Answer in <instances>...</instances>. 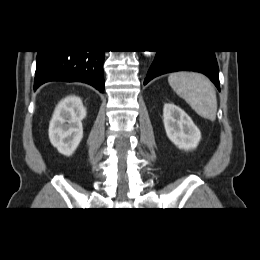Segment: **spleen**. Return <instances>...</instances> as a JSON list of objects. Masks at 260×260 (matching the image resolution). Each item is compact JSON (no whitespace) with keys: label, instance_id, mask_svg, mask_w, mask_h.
Here are the masks:
<instances>
[{"label":"spleen","instance_id":"3e777b00","mask_svg":"<svg viewBox=\"0 0 260 260\" xmlns=\"http://www.w3.org/2000/svg\"><path fill=\"white\" fill-rule=\"evenodd\" d=\"M168 82L198 115L210 121L216 119V92L207 77L199 73L176 72L169 75Z\"/></svg>","mask_w":260,"mask_h":260}]
</instances>
